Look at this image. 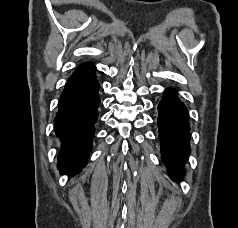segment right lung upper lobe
I'll list each match as a JSON object with an SVG mask.
<instances>
[{
  "label": "right lung upper lobe",
  "instance_id": "obj_1",
  "mask_svg": "<svg viewBox=\"0 0 238 228\" xmlns=\"http://www.w3.org/2000/svg\"><path fill=\"white\" fill-rule=\"evenodd\" d=\"M95 67L91 63L82 64L68 79V82L79 81L82 79L89 78L94 75Z\"/></svg>",
  "mask_w": 238,
  "mask_h": 228
}]
</instances>
